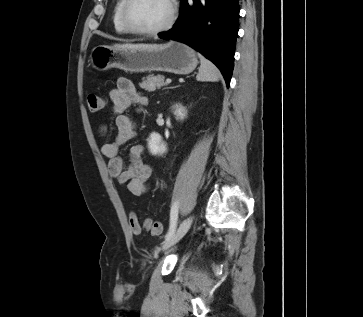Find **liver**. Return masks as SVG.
Here are the masks:
<instances>
[{"instance_id":"1","label":"liver","mask_w":363,"mask_h":317,"mask_svg":"<svg viewBox=\"0 0 363 317\" xmlns=\"http://www.w3.org/2000/svg\"><path fill=\"white\" fill-rule=\"evenodd\" d=\"M156 44H132V43H126V44H115L113 45V48H154L157 47Z\"/></svg>"}]
</instances>
